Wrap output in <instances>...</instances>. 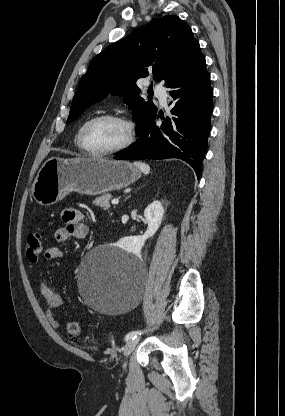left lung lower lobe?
<instances>
[{"mask_svg": "<svg viewBox=\"0 0 285 416\" xmlns=\"http://www.w3.org/2000/svg\"><path fill=\"white\" fill-rule=\"evenodd\" d=\"M167 88L171 89L169 94L175 101L169 103L174 106L173 117L164 118L158 127L155 116L138 132L140 138L136 143L117 153L114 159L178 158L187 162L199 179L213 111V90L204 56Z\"/></svg>", "mask_w": 285, "mask_h": 416, "instance_id": "0a47b994", "label": "left lung lower lobe"}]
</instances>
